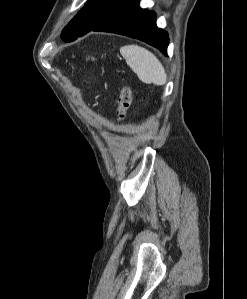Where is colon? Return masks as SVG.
I'll use <instances>...</instances> for the list:
<instances>
[{
	"label": "colon",
	"instance_id": "obj_1",
	"mask_svg": "<svg viewBox=\"0 0 247 299\" xmlns=\"http://www.w3.org/2000/svg\"><path fill=\"white\" fill-rule=\"evenodd\" d=\"M116 119L123 121L127 117L128 110L132 103V91L130 87L124 86L117 98Z\"/></svg>",
	"mask_w": 247,
	"mask_h": 299
}]
</instances>
